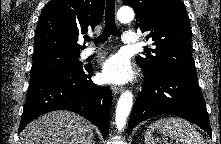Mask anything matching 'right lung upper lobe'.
I'll list each match as a JSON object with an SVG mask.
<instances>
[{
  "instance_id": "obj_1",
  "label": "right lung upper lobe",
  "mask_w": 221,
  "mask_h": 144,
  "mask_svg": "<svg viewBox=\"0 0 221 144\" xmlns=\"http://www.w3.org/2000/svg\"><path fill=\"white\" fill-rule=\"evenodd\" d=\"M105 0H51L41 13L36 28L35 53L79 52V35L94 29L103 17Z\"/></svg>"
}]
</instances>
